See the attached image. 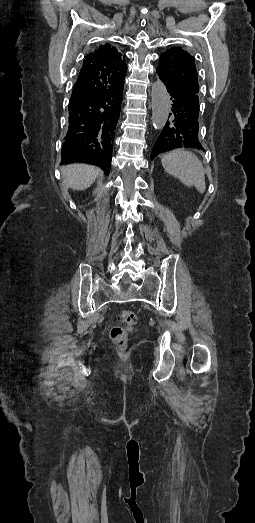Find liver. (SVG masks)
<instances>
[{
	"instance_id": "liver-1",
	"label": "liver",
	"mask_w": 255,
	"mask_h": 523,
	"mask_svg": "<svg viewBox=\"0 0 255 523\" xmlns=\"http://www.w3.org/2000/svg\"><path fill=\"white\" fill-rule=\"evenodd\" d=\"M62 176L65 178L64 184L72 190H86L95 182L99 176V168L88 166V164H70L62 166Z\"/></svg>"
}]
</instances>
